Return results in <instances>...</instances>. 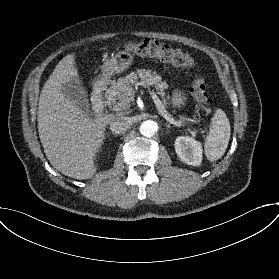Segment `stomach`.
Segmentation results:
<instances>
[{"label": "stomach", "mask_w": 279, "mask_h": 279, "mask_svg": "<svg viewBox=\"0 0 279 279\" xmlns=\"http://www.w3.org/2000/svg\"><path fill=\"white\" fill-rule=\"evenodd\" d=\"M133 63V55L128 51H120L101 66L102 79L109 81L110 77L122 73ZM171 105L174 109L184 108L187 104L186 95L179 89L172 91Z\"/></svg>", "instance_id": "stomach-1"}]
</instances>
